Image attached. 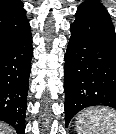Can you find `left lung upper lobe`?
Listing matches in <instances>:
<instances>
[{
	"label": "left lung upper lobe",
	"mask_w": 116,
	"mask_h": 134,
	"mask_svg": "<svg viewBox=\"0 0 116 134\" xmlns=\"http://www.w3.org/2000/svg\"><path fill=\"white\" fill-rule=\"evenodd\" d=\"M89 5H96V6L100 7V8L105 9L104 6L99 1H96V0L85 1V2L81 3V5L79 7H87Z\"/></svg>",
	"instance_id": "left-lung-upper-lobe-1"
}]
</instances>
